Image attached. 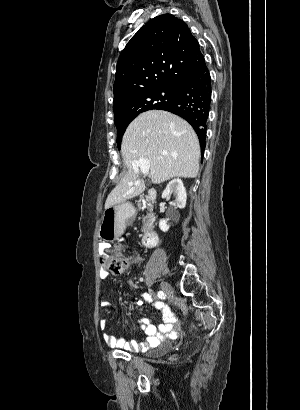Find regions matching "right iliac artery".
<instances>
[{
  "label": "right iliac artery",
  "mask_w": 300,
  "mask_h": 410,
  "mask_svg": "<svg viewBox=\"0 0 300 410\" xmlns=\"http://www.w3.org/2000/svg\"><path fill=\"white\" fill-rule=\"evenodd\" d=\"M145 294H146V293H145ZM147 295H149V294H147ZM157 296H158V298H160V299H165L166 294H165L163 291H159L158 294H157Z\"/></svg>",
  "instance_id": "obj_1"
}]
</instances>
